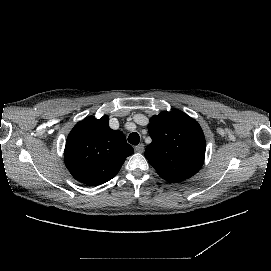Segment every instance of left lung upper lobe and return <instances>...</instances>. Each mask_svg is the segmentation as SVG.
<instances>
[{
  "label": "left lung upper lobe",
  "mask_w": 271,
  "mask_h": 271,
  "mask_svg": "<svg viewBox=\"0 0 271 271\" xmlns=\"http://www.w3.org/2000/svg\"><path fill=\"white\" fill-rule=\"evenodd\" d=\"M148 131L145 157L163 179L184 180L200 170L206 142L197 121L179 110L164 111L151 117Z\"/></svg>",
  "instance_id": "5c2ea615"
}]
</instances>
